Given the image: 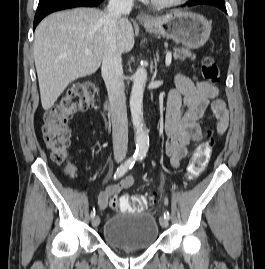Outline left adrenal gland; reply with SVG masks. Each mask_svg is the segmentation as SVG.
I'll list each match as a JSON object with an SVG mask.
<instances>
[{
	"instance_id": "left-adrenal-gland-1",
	"label": "left adrenal gland",
	"mask_w": 265,
	"mask_h": 269,
	"mask_svg": "<svg viewBox=\"0 0 265 269\" xmlns=\"http://www.w3.org/2000/svg\"><path fill=\"white\" fill-rule=\"evenodd\" d=\"M157 61H159V56L157 55ZM155 65H157V62H156V60H155Z\"/></svg>"
}]
</instances>
